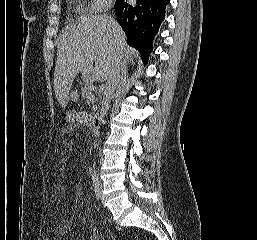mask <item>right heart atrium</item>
Instances as JSON below:
<instances>
[{
  "label": "right heart atrium",
  "instance_id": "1",
  "mask_svg": "<svg viewBox=\"0 0 257 240\" xmlns=\"http://www.w3.org/2000/svg\"><path fill=\"white\" fill-rule=\"evenodd\" d=\"M111 2L112 0H92L91 9L96 13L106 11L110 7Z\"/></svg>",
  "mask_w": 257,
  "mask_h": 240
}]
</instances>
